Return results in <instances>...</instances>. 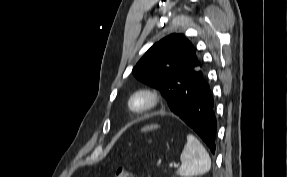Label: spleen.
<instances>
[{
    "instance_id": "3e777b00",
    "label": "spleen",
    "mask_w": 287,
    "mask_h": 177,
    "mask_svg": "<svg viewBox=\"0 0 287 177\" xmlns=\"http://www.w3.org/2000/svg\"><path fill=\"white\" fill-rule=\"evenodd\" d=\"M181 166L177 173L181 177H192L207 173L211 159L200 141L193 135L187 136V143L180 155Z\"/></svg>"
}]
</instances>
